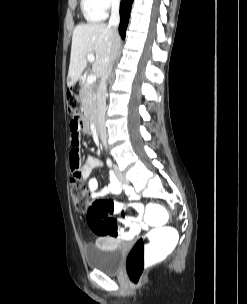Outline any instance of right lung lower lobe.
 <instances>
[{
	"label": "right lung lower lobe",
	"instance_id": "right-lung-lower-lobe-1",
	"mask_svg": "<svg viewBox=\"0 0 247 304\" xmlns=\"http://www.w3.org/2000/svg\"><path fill=\"white\" fill-rule=\"evenodd\" d=\"M132 2H133V0H121V3H120L121 21H120V26H119V33L123 39L125 38V32H126L128 21H129Z\"/></svg>",
	"mask_w": 247,
	"mask_h": 304
}]
</instances>
